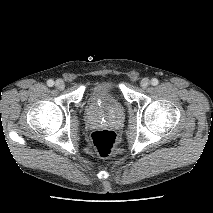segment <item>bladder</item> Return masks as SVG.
<instances>
[{"mask_svg":"<svg viewBox=\"0 0 213 213\" xmlns=\"http://www.w3.org/2000/svg\"><path fill=\"white\" fill-rule=\"evenodd\" d=\"M116 89V84L111 81H105L97 84L91 91V100L102 99L104 95Z\"/></svg>","mask_w":213,"mask_h":213,"instance_id":"bladder-1","label":"bladder"}]
</instances>
